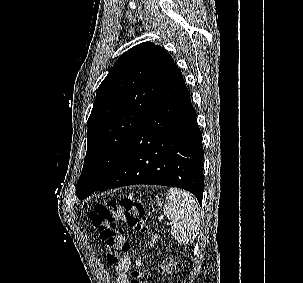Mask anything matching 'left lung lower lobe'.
<instances>
[{
  "mask_svg": "<svg viewBox=\"0 0 303 283\" xmlns=\"http://www.w3.org/2000/svg\"><path fill=\"white\" fill-rule=\"evenodd\" d=\"M202 135L183 76L174 63L115 170L96 191L135 184L179 187L203 196Z\"/></svg>",
  "mask_w": 303,
  "mask_h": 283,
  "instance_id": "obj_1",
  "label": "left lung lower lobe"
}]
</instances>
